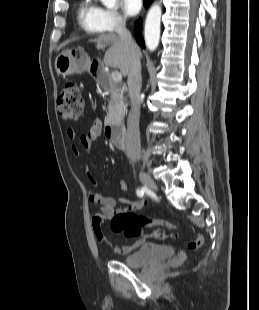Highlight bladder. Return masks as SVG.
Instances as JSON below:
<instances>
[{"label": "bladder", "mask_w": 259, "mask_h": 310, "mask_svg": "<svg viewBox=\"0 0 259 310\" xmlns=\"http://www.w3.org/2000/svg\"><path fill=\"white\" fill-rule=\"evenodd\" d=\"M175 250L171 246L147 244L121 259L122 263L131 268L146 267L173 257Z\"/></svg>", "instance_id": "31cf9c89"}]
</instances>
